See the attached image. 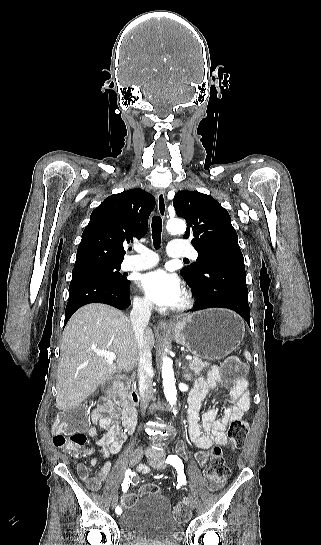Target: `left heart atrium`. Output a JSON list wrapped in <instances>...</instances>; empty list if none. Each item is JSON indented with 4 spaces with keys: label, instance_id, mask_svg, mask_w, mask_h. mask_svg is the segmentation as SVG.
Masks as SVG:
<instances>
[{
    "label": "left heart atrium",
    "instance_id": "left-heart-atrium-1",
    "mask_svg": "<svg viewBox=\"0 0 321 545\" xmlns=\"http://www.w3.org/2000/svg\"><path fill=\"white\" fill-rule=\"evenodd\" d=\"M138 286L146 297L163 311L178 306L184 293L179 278L165 269L143 274L138 280Z\"/></svg>",
    "mask_w": 321,
    "mask_h": 545
}]
</instances>
